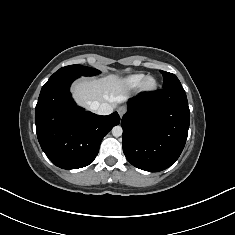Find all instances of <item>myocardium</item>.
<instances>
[{"instance_id":"obj_1","label":"myocardium","mask_w":235,"mask_h":235,"mask_svg":"<svg viewBox=\"0 0 235 235\" xmlns=\"http://www.w3.org/2000/svg\"><path fill=\"white\" fill-rule=\"evenodd\" d=\"M157 85H158V82L155 77L147 76L144 78L140 87L142 91L149 92V91L155 90L157 88Z\"/></svg>"}]
</instances>
